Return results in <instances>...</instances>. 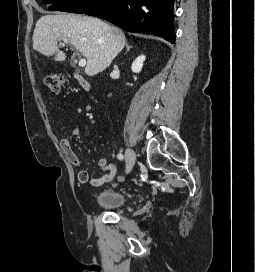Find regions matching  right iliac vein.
<instances>
[{
	"label": "right iliac vein",
	"instance_id": "right-iliac-vein-1",
	"mask_svg": "<svg viewBox=\"0 0 255 272\" xmlns=\"http://www.w3.org/2000/svg\"><path fill=\"white\" fill-rule=\"evenodd\" d=\"M136 154L132 149H127L126 150V173H130L131 170L134 167L135 161H136Z\"/></svg>",
	"mask_w": 255,
	"mask_h": 272
}]
</instances>
